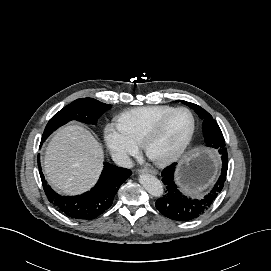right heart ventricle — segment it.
<instances>
[{"label": "right heart ventricle", "mask_w": 271, "mask_h": 271, "mask_svg": "<svg viewBox=\"0 0 271 271\" xmlns=\"http://www.w3.org/2000/svg\"><path fill=\"white\" fill-rule=\"evenodd\" d=\"M172 109L174 107L168 105L133 108L119 116L118 126L132 141L140 144L154 124Z\"/></svg>", "instance_id": "1"}]
</instances>
